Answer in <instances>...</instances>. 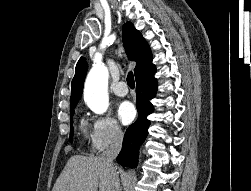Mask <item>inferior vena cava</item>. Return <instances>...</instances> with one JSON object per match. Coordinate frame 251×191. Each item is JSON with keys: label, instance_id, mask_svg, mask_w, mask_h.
Wrapping results in <instances>:
<instances>
[{"label": "inferior vena cava", "instance_id": "1", "mask_svg": "<svg viewBox=\"0 0 251 191\" xmlns=\"http://www.w3.org/2000/svg\"><path fill=\"white\" fill-rule=\"evenodd\" d=\"M122 139H123V133L119 127V125H114L113 131H112V141L106 149V151H103L101 155V159L107 163V165H113L112 161L117 157L121 147H122ZM113 181L114 183H117L118 187H120L119 183V177L117 171H114L113 173ZM120 191V189H118Z\"/></svg>", "mask_w": 251, "mask_h": 191}]
</instances>
